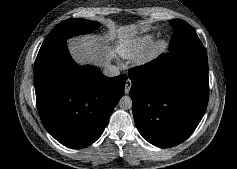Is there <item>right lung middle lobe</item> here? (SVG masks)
<instances>
[{
	"mask_svg": "<svg viewBox=\"0 0 237 169\" xmlns=\"http://www.w3.org/2000/svg\"><path fill=\"white\" fill-rule=\"evenodd\" d=\"M99 27V23L85 19H68L57 25L44 42L67 39L75 35L86 34Z\"/></svg>",
	"mask_w": 237,
	"mask_h": 169,
	"instance_id": "dd1d6c3e",
	"label": "right lung middle lobe"
}]
</instances>
